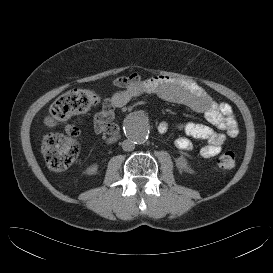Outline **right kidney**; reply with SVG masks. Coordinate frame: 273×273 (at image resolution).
I'll use <instances>...</instances> for the list:
<instances>
[{
    "label": "right kidney",
    "mask_w": 273,
    "mask_h": 273,
    "mask_svg": "<svg viewBox=\"0 0 273 273\" xmlns=\"http://www.w3.org/2000/svg\"><path fill=\"white\" fill-rule=\"evenodd\" d=\"M97 169H98L97 164H93L87 169V173L90 175L95 174L97 172Z\"/></svg>",
    "instance_id": "1"
}]
</instances>
